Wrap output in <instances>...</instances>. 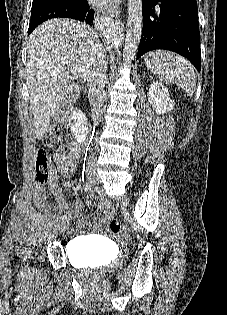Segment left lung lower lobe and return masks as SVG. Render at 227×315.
Masks as SVG:
<instances>
[{
  "instance_id": "0a47b994",
  "label": "left lung lower lobe",
  "mask_w": 227,
  "mask_h": 315,
  "mask_svg": "<svg viewBox=\"0 0 227 315\" xmlns=\"http://www.w3.org/2000/svg\"><path fill=\"white\" fill-rule=\"evenodd\" d=\"M143 31L137 59L155 49L186 57L200 72L201 50L196 0H142Z\"/></svg>"
}]
</instances>
